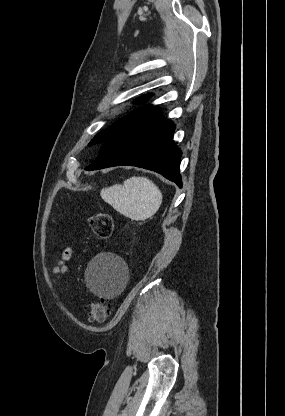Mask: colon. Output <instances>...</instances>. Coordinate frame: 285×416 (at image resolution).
<instances>
[{
  "label": "colon",
  "instance_id": "5ec220e1",
  "mask_svg": "<svg viewBox=\"0 0 285 416\" xmlns=\"http://www.w3.org/2000/svg\"><path fill=\"white\" fill-rule=\"evenodd\" d=\"M89 226L99 239H108L113 233V219L108 213H96L89 218ZM90 317L93 321L103 323L111 314V306L104 299L93 300L90 305Z\"/></svg>",
  "mask_w": 285,
  "mask_h": 416
}]
</instances>
